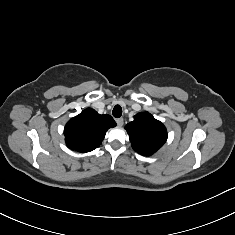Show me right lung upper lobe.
Instances as JSON below:
<instances>
[{
	"label": "right lung upper lobe",
	"mask_w": 235,
	"mask_h": 235,
	"mask_svg": "<svg viewBox=\"0 0 235 235\" xmlns=\"http://www.w3.org/2000/svg\"><path fill=\"white\" fill-rule=\"evenodd\" d=\"M115 126L116 122L110 115H100L87 108L67 122L65 141L71 150L90 152L99 147L107 130Z\"/></svg>",
	"instance_id": "right-lung-upper-lobe-1"
}]
</instances>
